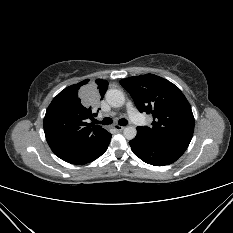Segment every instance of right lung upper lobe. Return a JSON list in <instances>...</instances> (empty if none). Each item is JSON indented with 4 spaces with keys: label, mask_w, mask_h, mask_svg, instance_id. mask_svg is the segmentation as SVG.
Returning <instances> with one entry per match:
<instances>
[{
    "label": "right lung upper lobe",
    "mask_w": 233,
    "mask_h": 233,
    "mask_svg": "<svg viewBox=\"0 0 233 233\" xmlns=\"http://www.w3.org/2000/svg\"><path fill=\"white\" fill-rule=\"evenodd\" d=\"M108 82L89 79L62 90L49 105L44 117V132L52 151L69 163H81L97 154L111 134L99 125L89 124L93 118L79 91L98 93L103 98ZM96 116V114H94Z\"/></svg>",
    "instance_id": "cb5924a9"
}]
</instances>
